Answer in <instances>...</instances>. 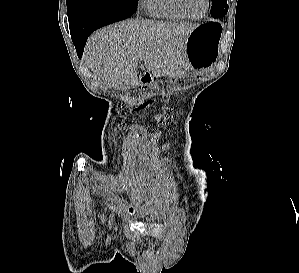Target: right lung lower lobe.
Segmentation results:
<instances>
[{"label": "right lung lower lobe", "instance_id": "1", "mask_svg": "<svg viewBox=\"0 0 299 273\" xmlns=\"http://www.w3.org/2000/svg\"><path fill=\"white\" fill-rule=\"evenodd\" d=\"M136 7L102 5L98 7H78L68 13L72 41L81 58L88 36L100 27L130 17Z\"/></svg>", "mask_w": 299, "mask_h": 273}]
</instances>
